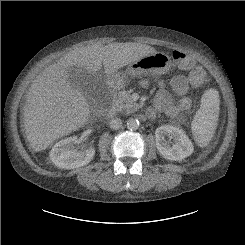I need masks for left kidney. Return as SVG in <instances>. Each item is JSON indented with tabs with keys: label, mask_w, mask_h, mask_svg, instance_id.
Here are the masks:
<instances>
[{
	"label": "left kidney",
	"mask_w": 245,
	"mask_h": 245,
	"mask_svg": "<svg viewBox=\"0 0 245 245\" xmlns=\"http://www.w3.org/2000/svg\"><path fill=\"white\" fill-rule=\"evenodd\" d=\"M156 147L165 159L181 161L190 156L194 146L185 132L172 125H162L155 131ZM166 137L169 140H166ZM172 140V142H171Z\"/></svg>",
	"instance_id": "1"
}]
</instances>
